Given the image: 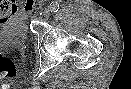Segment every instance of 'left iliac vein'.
Returning a JSON list of instances; mask_svg holds the SVG:
<instances>
[{
    "instance_id": "obj_1",
    "label": "left iliac vein",
    "mask_w": 131,
    "mask_h": 89,
    "mask_svg": "<svg viewBox=\"0 0 131 89\" xmlns=\"http://www.w3.org/2000/svg\"><path fill=\"white\" fill-rule=\"evenodd\" d=\"M50 14H51L50 9H49V8H46V9L44 10V13H43L44 17H45V18H48V17L50 16Z\"/></svg>"
}]
</instances>
